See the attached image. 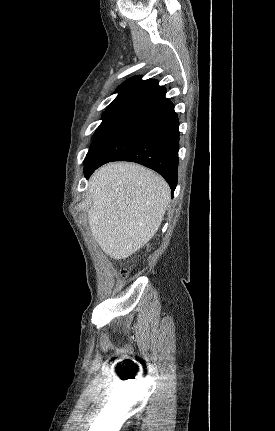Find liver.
<instances>
[{
	"label": "liver",
	"mask_w": 275,
	"mask_h": 431,
	"mask_svg": "<svg viewBox=\"0 0 275 431\" xmlns=\"http://www.w3.org/2000/svg\"><path fill=\"white\" fill-rule=\"evenodd\" d=\"M170 195L166 181L141 165L99 168L89 180L88 223L95 241L115 260L131 256L158 231Z\"/></svg>",
	"instance_id": "obj_1"
}]
</instances>
